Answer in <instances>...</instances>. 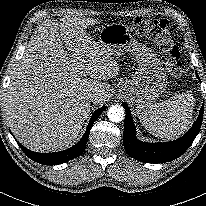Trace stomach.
<instances>
[{"instance_id":"stomach-1","label":"stomach","mask_w":206,"mask_h":206,"mask_svg":"<svg viewBox=\"0 0 206 206\" xmlns=\"http://www.w3.org/2000/svg\"><path fill=\"white\" fill-rule=\"evenodd\" d=\"M99 43L113 56L131 53L137 62V69L119 88L118 95L135 105L137 113L152 104L167 85L165 69L153 51L138 42L122 23H112L103 27Z\"/></svg>"}]
</instances>
